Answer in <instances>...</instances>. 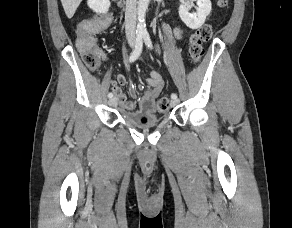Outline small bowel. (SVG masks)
Here are the masks:
<instances>
[{
	"instance_id": "1",
	"label": "small bowel",
	"mask_w": 292,
	"mask_h": 228,
	"mask_svg": "<svg viewBox=\"0 0 292 228\" xmlns=\"http://www.w3.org/2000/svg\"><path fill=\"white\" fill-rule=\"evenodd\" d=\"M165 30L167 33L174 35L176 38H180L182 35L179 28L171 31L169 27L165 26ZM146 82L149 86V90H147L142 96H138L137 89L133 84H130L129 86V94L138 102V109H136V104L128 101L126 93L122 89V86L128 83V79L123 74H117L116 82L112 84V91L116 95L117 104L119 107L129 112H145L147 114L154 113L156 111L155 101L163 89L164 82L160 73L156 70H151L149 72Z\"/></svg>"
}]
</instances>
